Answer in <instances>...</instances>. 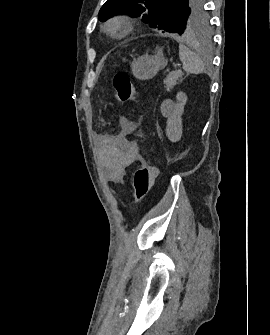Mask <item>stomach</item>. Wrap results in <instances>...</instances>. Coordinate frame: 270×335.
Instances as JSON below:
<instances>
[{
	"label": "stomach",
	"mask_w": 270,
	"mask_h": 335,
	"mask_svg": "<svg viewBox=\"0 0 270 335\" xmlns=\"http://www.w3.org/2000/svg\"><path fill=\"white\" fill-rule=\"evenodd\" d=\"M166 64L167 62L162 52H159L156 56L145 54V56H139V58H136V60L132 62L131 70L133 76L138 78V80H150V78H154L157 72L162 70Z\"/></svg>",
	"instance_id": "stomach-1"
}]
</instances>
